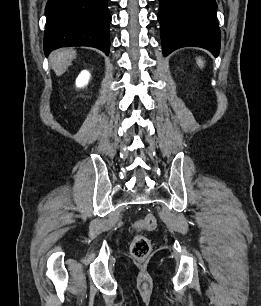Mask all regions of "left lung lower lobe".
I'll return each mask as SVG.
<instances>
[{
	"label": "left lung lower lobe",
	"mask_w": 261,
	"mask_h": 306,
	"mask_svg": "<svg viewBox=\"0 0 261 306\" xmlns=\"http://www.w3.org/2000/svg\"><path fill=\"white\" fill-rule=\"evenodd\" d=\"M164 56L185 46L202 47L214 56L220 51L215 0H159Z\"/></svg>",
	"instance_id": "obj_1"
}]
</instances>
